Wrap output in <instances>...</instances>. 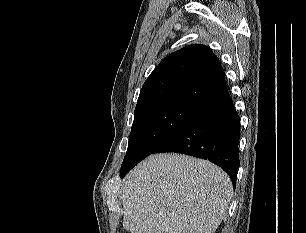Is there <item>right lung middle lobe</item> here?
<instances>
[{
	"label": "right lung middle lobe",
	"mask_w": 306,
	"mask_h": 233,
	"mask_svg": "<svg viewBox=\"0 0 306 233\" xmlns=\"http://www.w3.org/2000/svg\"><path fill=\"white\" fill-rule=\"evenodd\" d=\"M202 107L185 99L171 98L155 100L135 109L121 177L151 154Z\"/></svg>",
	"instance_id": "1"
}]
</instances>
